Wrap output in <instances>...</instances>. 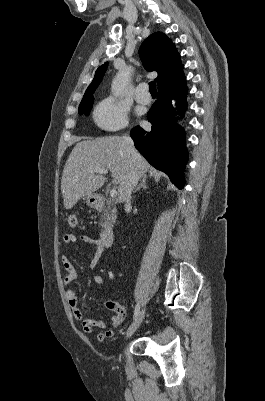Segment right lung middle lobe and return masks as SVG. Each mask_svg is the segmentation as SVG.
Listing matches in <instances>:
<instances>
[{
	"mask_svg": "<svg viewBox=\"0 0 265 401\" xmlns=\"http://www.w3.org/2000/svg\"><path fill=\"white\" fill-rule=\"evenodd\" d=\"M93 104V98L81 102L79 106V113L88 115Z\"/></svg>",
	"mask_w": 265,
	"mask_h": 401,
	"instance_id": "right-lung-middle-lobe-1",
	"label": "right lung middle lobe"
}]
</instances>
